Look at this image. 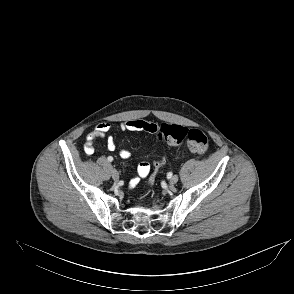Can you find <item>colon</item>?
<instances>
[{
    "instance_id": "colon-1",
    "label": "colon",
    "mask_w": 294,
    "mask_h": 294,
    "mask_svg": "<svg viewBox=\"0 0 294 294\" xmlns=\"http://www.w3.org/2000/svg\"><path fill=\"white\" fill-rule=\"evenodd\" d=\"M146 131L153 133L159 140H165L170 145L178 146L185 143L193 153L205 154L209 148L207 136L198 129H189L180 125L148 123ZM159 171V163L154 162L150 174V182L153 183Z\"/></svg>"
}]
</instances>
